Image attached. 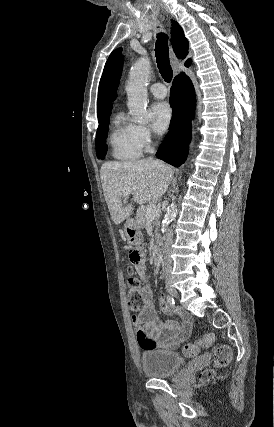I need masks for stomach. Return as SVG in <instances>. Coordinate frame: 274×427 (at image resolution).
Returning a JSON list of instances; mask_svg holds the SVG:
<instances>
[{
	"label": "stomach",
	"instance_id": "1",
	"mask_svg": "<svg viewBox=\"0 0 274 427\" xmlns=\"http://www.w3.org/2000/svg\"><path fill=\"white\" fill-rule=\"evenodd\" d=\"M124 233L126 235L128 245H139L142 241V233L138 223L133 217H129L124 225Z\"/></svg>",
	"mask_w": 274,
	"mask_h": 427
}]
</instances>
